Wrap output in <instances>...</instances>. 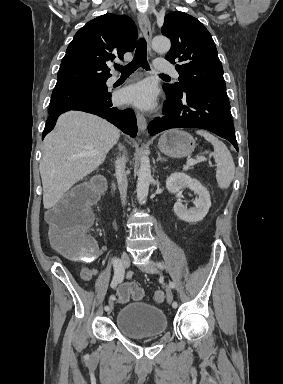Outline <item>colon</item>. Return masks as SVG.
Instances as JSON below:
<instances>
[{"instance_id":"obj_1","label":"colon","mask_w":283,"mask_h":384,"mask_svg":"<svg viewBox=\"0 0 283 384\" xmlns=\"http://www.w3.org/2000/svg\"><path fill=\"white\" fill-rule=\"evenodd\" d=\"M95 184H84L67 193L47 215L53 245L66 257L76 261H90L96 257L97 247L88 234L92 223V206L97 192ZM141 300L144 292L136 284H124L118 291V301L129 298ZM154 299L162 302L165 293L157 290Z\"/></svg>"}]
</instances>
